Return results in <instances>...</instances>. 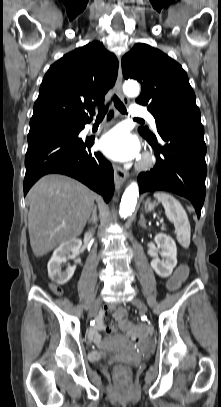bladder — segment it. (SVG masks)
I'll return each mask as SVG.
<instances>
[{
	"label": "bladder",
	"mask_w": 221,
	"mask_h": 407,
	"mask_svg": "<svg viewBox=\"0 0 221 407\" xmlns=\"http://www.w3.org/2000/svg\"><path fill=\"white\" fill-rule=\"evenodd\" d=\"M116 341H119V338H110L107 342V346L103 347L100 350L93 351L92 352L93 360L98 361L104 358L105 356L111 354L113 352V348L111 347V345Z\"/></svg>",
	"instance_id": "obj_1"
}]
</instances>
